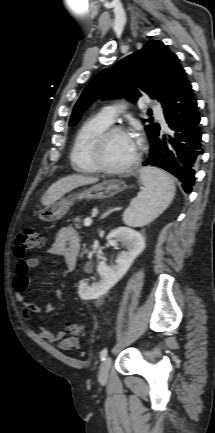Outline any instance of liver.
<instances>
[{
  "mask_svg": "<svg viewBox=\"0 0 215 433\" xmlns=\"http://www.w3.org/2000/svg\"><path fill=\"white\" fill-rule=\"evenodd\" d=\"M99 179L97 177H87L83 175H70L59 179L52 184L48 189L50 200H58L67 192L79 186L96 183Z\"/></svg>",
  "mask_w": 215,
  "mask_h": 433,
  "instance_id": "1",
  "label": "liver"
}]
</instances>
